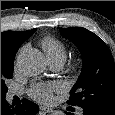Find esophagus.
Here are the masks:
<instances>
[{
    "label": "esophagus",
    "instance_id": "1",
    "mask_svg": "<svg viewBox=\"0 0 115 115\" xmlns=\"http://www.w3.org/2000/svg\"><path fill=\"white\" fill-rule=\"evenodd\" d=\"M40 110L43 111V112H46V113H50V112H53V110L49 107H44V106H41L40 107Z\"/></svg>",
    "mask_w": 115,
    "mask_h": 115
}]
</instances>
